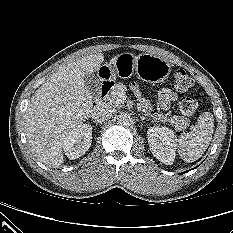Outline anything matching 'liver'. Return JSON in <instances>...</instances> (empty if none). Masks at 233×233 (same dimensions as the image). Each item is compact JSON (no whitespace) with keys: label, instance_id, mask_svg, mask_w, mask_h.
<instances>
[{"label":"liver","instance_id":"liver-1","mask_svg":"<svg viewBox=\"0 0 233 233\" xmlns=\"http://www.w3.org/2000/svg\"><path fill=\"white\" fill-rule=\"evenodd\" d=\"M103 61L104 55L96 53L62 65L32 96L24 116L26 136L31 150L43 163H63L65 137L92 113V95L84 76L98 71Z\"/></svg>","mask_w":233,"mask_h":233}]
</instances>
